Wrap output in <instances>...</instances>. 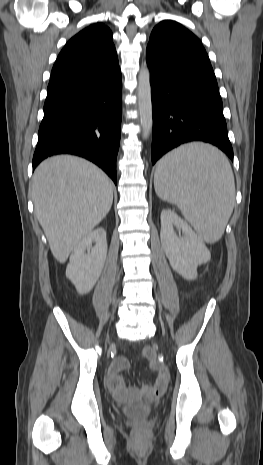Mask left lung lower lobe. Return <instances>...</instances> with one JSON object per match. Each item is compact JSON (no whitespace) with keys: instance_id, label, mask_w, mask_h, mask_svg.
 <instances>
[{"instance_id":"0a47b994","label":"left lung lower lobe","mask_w":263,"mask_h":465,"mask_svg":"<svg viewBox=\"0 0 263 465\" xmlns=\"http://www.w3.org/2000/svg\"><path fill=\"white\" fill-rule=\"evenodd\" d=\"M153 104L152 164L187 142L211 143L233 161L223 104L211 64L146 50Z\"/></svg>"}]
</instances>
